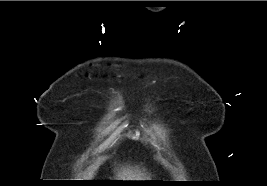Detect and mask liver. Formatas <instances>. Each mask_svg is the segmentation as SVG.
Here are the masks:
<instances>
[{"label":"liver","instance_id":"obj_1","mask_svg":"<svg viewBox=\"0 0 267 186\" xmlns=\"http://www.w3.org/2000/svg\"><path fill=\"white\" fill-rule=\"evenodd\" d=\"M98 168V164L95 166H92L88 171V177L93 178L95 171ZM117 178H123L124 181H133L134 179H145L146 177L145 173H142L140 169L138 168H131V167H123L120 170H117L116 173ZM127 179V180H125ZM122 180V179H118Z\"/></svg>","mask_w":267,"mask_h":186}]
</instances>
